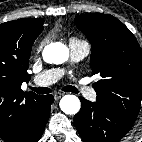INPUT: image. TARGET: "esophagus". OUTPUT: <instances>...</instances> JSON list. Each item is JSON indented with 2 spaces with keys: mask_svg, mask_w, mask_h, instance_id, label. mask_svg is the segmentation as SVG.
Listing matches in <instances>:
<instances>
[{
  "mask_svg": "<svg viewBox=\"0 0 142 142\" xmlns=\"http://www.w3.org/2000/svg\"><path fill=\"white\" fill-rule=\"evenodd\" d=\"M63 95H64L63 93L57 92L54 94V99L58 101Z\"/></svg>",
  "mask_w": 142,
  "mask_h": 142,
  "instance_id": "esophagus-1",
  "label": "esophagus"
}]
</instances>
